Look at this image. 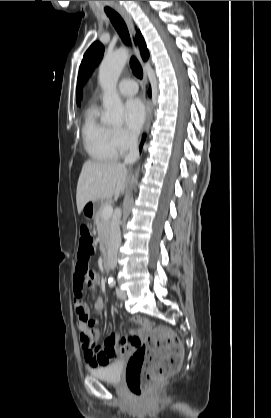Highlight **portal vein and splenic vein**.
Here are the masks:
<instances>
[{
    "label": "portal vein and splenic vein",
    "instance_id": "1",
    "mask_svg": "<svg viewBox=\"0 0 271 418\" xmlns=\"http://www.w3.org/2000/svg\"><path fill=\"white\" fill-rule=\"evenodd\" d=\"M112 213H113V207H112V205L107 204V205L104 207V209H103V213H102L103 218H104V219H108V218H110V217L112 216Z\"/></svg>",
    "mask_w": 271,
    "mask_h": 418
}]
</instances>
